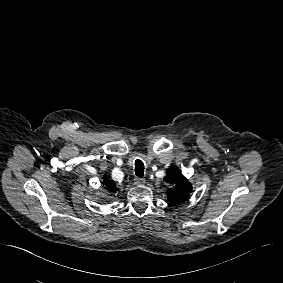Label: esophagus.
<instances>
[{
    "mask_svg": "<svg viewBox=\"0 0 283 283\" xmlns=\"http://www.w3.org/2000/svg\"><path fill=\"white\" fill-rule=\"evenodd\" d=\"M146 183V180L144 178H140V177H135L134 178V184L137 186H142Z\"/></svg>",
    "mask_w": 283,
    "mask_h": 283,
    "instance_id": "34e87169",
    "label": "esophagus"
}]
</instances>
